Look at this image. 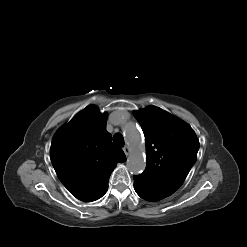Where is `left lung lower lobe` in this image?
<instances>
[{
    "mask_svg": "<svg viewBox=\"0 0 247 247\" xmlns=\"http://www.w3.org/2000/svg\"><path fill=\"white\" fill-rule=\"evenodd\" d=\"M134 189L136 193L143 199L148 201H159L165 196L157 193L156 191L149 188L141 179L137 176H134Z\"/></svg>",
    "mask_w": 247,
    "mask_h": 247,
    "instance_id": "obj_1",
    "label": "left lung lower lobe"
}]
</instances>
